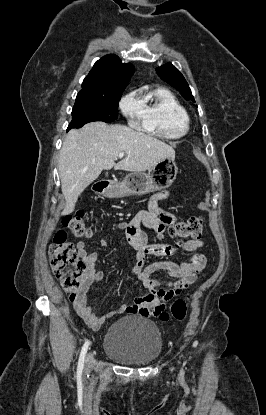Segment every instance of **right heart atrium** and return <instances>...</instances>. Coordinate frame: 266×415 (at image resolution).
<instances>
[{
  "label": "right heart atrium",
  "mask_w": 266,
  "mask_h": 415,
  "mask_svg": "<svg viewBox=\"0 0 266 415\" xmlns=\"http://www.w3.org/2000/svg\"><path fill=\"white\" fill-rule=\"evenodd\" d=\"M120 110L129 123L134 124L142 115V105L140 98L135 92L125 95L120 103Z\"/></svg>",
  "instance_id": "right-heart-atrium-1"
}]
</instances>
